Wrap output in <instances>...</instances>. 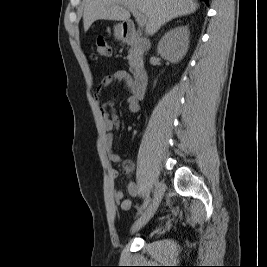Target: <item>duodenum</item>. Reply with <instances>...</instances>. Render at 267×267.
Instances as JSON below:
<instances>
[{"label":"duodenum","mask_w":267,"mask_h":267,"mask_svg":"<svg viewBox=\"0 0 267 267\" xmlns=\"http://www.w3.org/2000/svg\"><path fill=\"white\" fill-rule=\"evenodd\" d=\"M122 36L127 43L137 46L140 50L145 51L150 48V42L139 36L132 21H126L123 24ZM133 77V95L137 99H141L145 94L148 83V74L146 69L143 66L135 67L133 70Z\"/></svg>","instance_id":"410a0bca"}]
</instances>
